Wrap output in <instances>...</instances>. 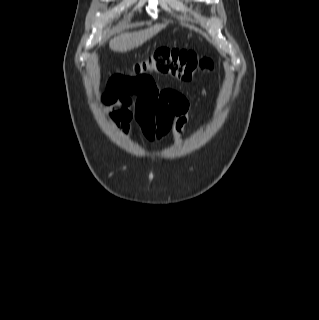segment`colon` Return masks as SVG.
<instances>
[{
	"label": "colon",
	"instance_id": "5ec220e1",
	"mask_svg": "<svg viewBox=\"0 0 319 320\" xmlns=\"http://www.w3.org/2000/svg\"><path fill=\"white\" fill-rule=\"evenodd\" d=\"M211 66L212 62L208 58H200L192 51L162 47L136 62L132 67V76L115 75L110 79V85L126 88L150 74L170 75L191 81L200 70L210 69ZM135 120L143 137L151 142L164 138L171 130L170 126L160 123L150 113H136Z\"/></svg>",
	"mask_w": 319,
	"mask_h": 320
}]
</instances>
